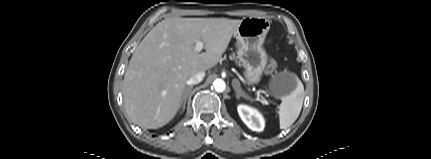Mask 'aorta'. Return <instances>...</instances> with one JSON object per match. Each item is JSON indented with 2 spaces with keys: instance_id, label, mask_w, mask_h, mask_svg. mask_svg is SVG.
I'll list each match as a JSON object with an SVG mask.
<instances>
[{
  "instance_id": "762f6f07",
  "label": "aorta",
  "mask_w": 431,
  "mask_h": 159,
  "mask_svg": "<svg viewBox=\"0 0 431 159\" xmlns=\"http://www.w3.org/2000/svg\"><path fill=\"white\" fill-rule=\"evenodd\" d=\"M213 86H214V89L217 92H223L225 90V88H226V84H225V82L222 79H216L213 82Z\"/></svg>"
}]
</instances>
